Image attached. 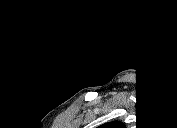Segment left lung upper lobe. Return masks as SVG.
<instances>
[{
  "label": "left lung upper lobe",
  "instance_id": "1",
  "mask_svg": "<svg viewBox=\"0 0 177 128\" xmlns=\"http://www.w3.org/2000/svg\"><path fill=\"white\" fill-rule=\"evenodd\" d=\"M106 125H107L106 127H122V124L120 122H117V121L107 123Z\"/></svg>",
  "mask_w": 177,
  "mask_h": 128
}]
</instances>
